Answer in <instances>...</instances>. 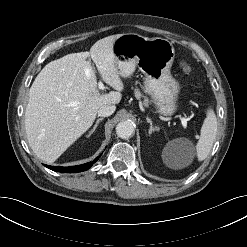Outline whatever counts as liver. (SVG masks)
I'll list each match as a JSON object with an SVG mask.
<instances>
[{
	"instance_id": "1",
	"label": "liver",
	"mask_w": 247,
	"mask_h": 247,
	"mask_svg": "<svg viewBox=\"0 0 247 247\" xmlns=\"http://www.w3.org/2000/svg\"><path fill=\"white\" fill-rule=\"evenodd\" d=\"M121 34L98 40L89 52L68 54L48 63L35 78L25 110L28 143L41 160L55 162L93 124L102 105L121 101L124 88L113 44ZM116 91L102 94L88 58Z\"/></svg>"
}]
</instances>
